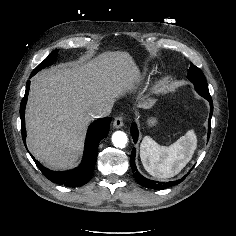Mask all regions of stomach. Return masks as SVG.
<instances>
[{
    "instance_id": "0dacf381",
    "label": "stomach",
    "mask_w": 236,
    "mask_h": 236,
    "mask_svg": "<svg viewBox=\"0 0 236 236\" xmlns=\"http://www.w3.org/2000/svg\"><path fill=\"white\" fill-rule=\"evenodd\" d=\"M157 124V118L156 117H150L147 119V125L149 127H153Z\"/></svg>"
}]
</instances>
